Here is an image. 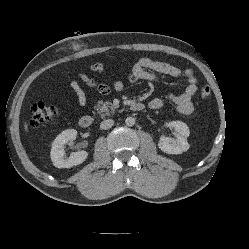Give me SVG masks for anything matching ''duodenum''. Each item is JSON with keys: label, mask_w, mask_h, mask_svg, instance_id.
Masks as SVG:
<instances>
[{"label": "duodenum", "mask_w": 249, "mask_h": 249, "mask_svg": "<svg viewBox=\"0 0 249 249\" xmlns=\"http://www.w3.org/2000/svg\"><path fill=\"white\" fill-rule=\"evenodd\" d=\"M132 111H142L144 104L141 102H135L130 106ZM93 119L90 115H84L79 119V125L81 128H89L92 125Z\"/></svg>", "instance_id": "obj_1"}]
</instances>
